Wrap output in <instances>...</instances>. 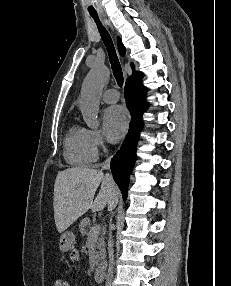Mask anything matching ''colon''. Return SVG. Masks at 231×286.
Segmentation results:
<instances>
[{"label": "colon", "mask_w": 231, "mask_h": 286, "mask_svg": "<svg viewBox=\"0 0 231 286\" xmlns=\"http://www.w3.org/2000/svg\"><path fill=\"white\" fill-rule=\"evenodd\" d=\"M54 286H71V285L68 281L59 279L55 281Z\"/></svg>", "instance_id": "colon-1"}]
</instances>
